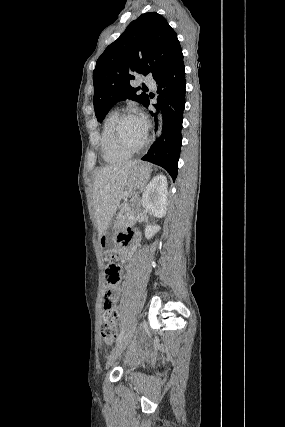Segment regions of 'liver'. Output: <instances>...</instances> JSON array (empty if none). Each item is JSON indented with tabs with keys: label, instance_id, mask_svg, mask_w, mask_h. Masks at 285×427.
<instances>
[{
	"label": "liver",
	"instance_id": "1",
	"mask_svg": "<svg viewBox=\"0 0 285 427\" xmlns=\"http://www.w3.org/2000/svg\"><path fill=\"white\" fill-rule=\"evenodd\" d=\"M137 161L109 165L96 174L93 183V203L99 238L109 226L120 204L131 168Z\"/></svg>",
	"mask_w": 285,
	"mask_h": 427
}]
</instances>
